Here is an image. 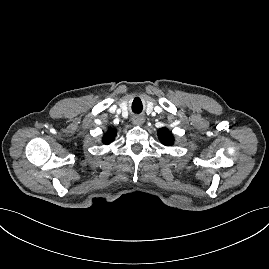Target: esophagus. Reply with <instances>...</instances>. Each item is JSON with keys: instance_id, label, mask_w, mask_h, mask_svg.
I'll use <instances>...</instances> for the list:
<instances>
[{"instance_id": "obj_1", "label": "esophagus", "mask_w": 269, "mask_h": 269, "mask_svg": "<svg viewBox=\"0 0 269 269\" xmlns=\"http://www.w3.org/2000/svg\"><path fill=\"white\" fill-rule=\"evenodd\" d=\"M144 121H145V118L142 117V116H135V117L132 119V122H133V124H135V125H141V124L144 123Z\"/></svg>"}]
</instances>
